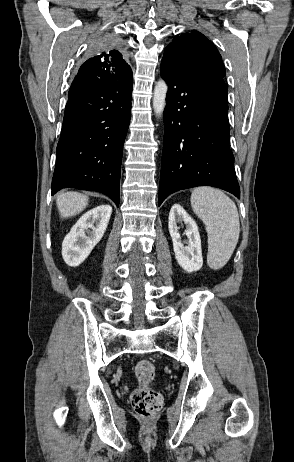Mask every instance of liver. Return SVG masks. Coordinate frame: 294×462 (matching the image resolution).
I'll use <instances>...</instances> for the list:
<instances>
[{
  "mask_svg": "<svg viewBox=\"0 0 294 462\" xmlns=\"http://www.w3.org/2000/svg\"><path fill=\"white\" fill-rule=\"evenodd\" d=\"M88 196L78 192H62L57 196L56 204L61 218L75 216L88 205Z\"/></svg>",
  "mask_w": 294,
  "mask_h": 462,
  "instance_id": "1",
  "label": "liver"
}]
</instances>
